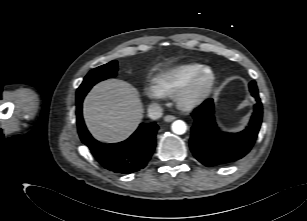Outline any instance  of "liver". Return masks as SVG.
<instances>
[{"label":"liver","instance_id":"6515ba94","mask_svg":"<svg viewBox=\"0 0 307 221\" xmlns=\"http://www.w3.org/2000/svg\"><path fill=\"white\" fill-rule=\"evenodd\" d=\"M143 112L136 88L118 79L98 83L83 102L86 126L101 142H119L128 138L141 122Z\"/></svg>","mask_w":307,"mask_h":221}]
</instances>
